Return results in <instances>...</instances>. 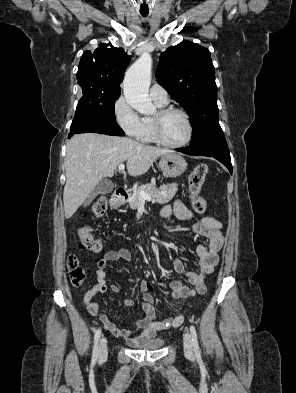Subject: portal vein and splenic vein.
<instances>
[{"label":"portal vein and splenic vein","mask_w":296,"mask_h":393,"mask_svg":"<svg viewBox=\"0 0 296 393\" xmlns=\"http://www.w3.org/2000/svg\"><path fill=\"white\" fill-rule=\"evenodd\" d=\"M124 169H125L124 164H120L118 167L119 172L124 171ZM140 197H141V199H144V200H151L152 199L151 196L148 195L147 193H145L144 191L140 192Z\"/></svg>","instance_id":"1"}]
</instances>
